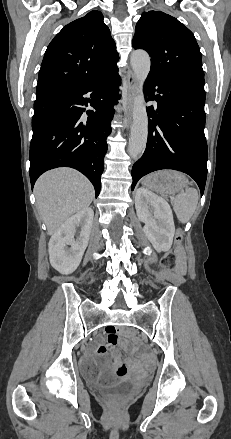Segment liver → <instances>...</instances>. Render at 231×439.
Listing matches in <instances>:
<instances>
[{
  "mask_svg": "<svg viewBox=\"0 0 231 439\" xmlns=\"http://www.w3.org/2000/svg\"><path fill=\"white\" fill-rule=\"evenodd\" d=\"M34 192L37 209L49 235H53L70 217L88 208L94 198L90 181L71 168H58L41 175Z\"/></svg>",
  "mask_w": 231,
  "mask_h": 439,
  "instance_id": "liver-1",
  "label": "liver"
}]
</instances>
